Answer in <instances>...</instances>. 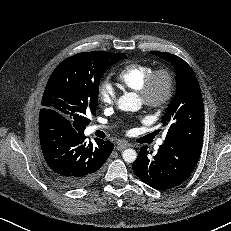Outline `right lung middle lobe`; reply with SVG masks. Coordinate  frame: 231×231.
<instances>
[{
	"mask_svg": "<svg viewBox=\"0 0 231 231\" xmlns=\"http://www.w3.org/2000/svg\"><path fill=\"white\" fill-rule=\"evenodd\" d=\"M126 58L123 53L93 51L63 60L47 82L42 107L83 132L90 123L87 116L96 115L101 76L111 65Z\"/></svg>",
	"mask_w": 231,
	"mask_h": 231,
	"instance_id": "dd1d6c3e",
	"label": "right lung middle lobe"
}]
</instances>
